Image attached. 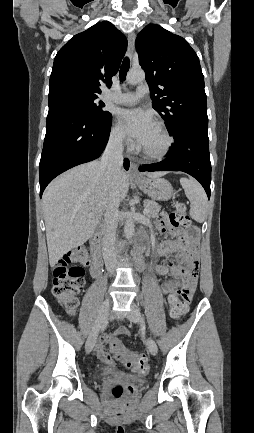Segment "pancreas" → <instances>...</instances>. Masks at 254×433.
<instances>
[{"instance_id":"obj_1","label":"pancreas","mask_w":254,"mask_h":433,"mask_svg":"<svg viewBox=\"0 0 254 433\" xmlns=\"http://www.w3.org/2000/svg\"><path fill=\"white\" fill-rule=\"evenodd\" d=\"M144 204L145 207L149 209V212L147 214V217L149 218H155L161 210V206L153 200H145Z\"/></svg>"}]
</instances>
